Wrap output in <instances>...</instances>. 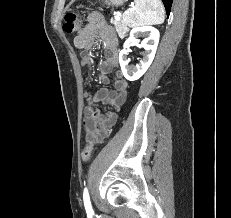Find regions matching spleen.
<instances>
[{
    "label": "spleen",
    "instance_id": "obj_1",
    "mask_svg": "<svg viewBox=\"0 0 231 218\" xmlns=\"http://www.w3.org/2000/svg\"><path fill=\"white\" fill-rule=\"evenodd\" d=\"M135 5L125 11L123 20L129 27L162 24L165 18L160 0H134Z\"/></svg>",
    "mask_w": 231,
    "mask_h": 218
}]
</instances>
